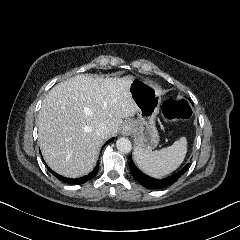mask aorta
I'll list each match as a JSON object with an SVG mask.
<instances>
[{"instance_id": "obj_1", "label": "aorta", "mask_w": 240, "mask_h": 240, "mask_svg": "<svg viewBox=\"0 0 240 240\" xmlns=\"http://www.w3.org/2000/svg\"><path fill=\"white\" fill-rule=\"evenodd\" d=\"M116 148L121 153H127V152H129L131 150V142L126 137H119L116 140Z\"/></svg>"}]
</instances>
